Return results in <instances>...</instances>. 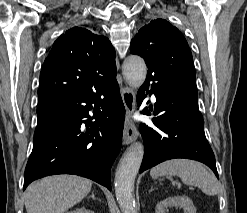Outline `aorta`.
Instances as JSON below:
<instances>
[{
  "label": "aorta",
  "instance_id": "762f6f07",
  "mask_svg": "<svg viewBox=\"0 0 247 213\" xmlns=\"http://www.w3.org/2000/svg\"><path fill=\"white\" fill-rule=\"evenodd\" d=\"M147 66L144 60L135 55L129 56L123 66L126 82L138 89L145 81ZM144 155L140 142L132 144L122 156L115 174V194L123 213H137L134 198V181Z\"/></svg>",
  "mask_w": 247,
  "mask_h": 213
}]
</instances>
